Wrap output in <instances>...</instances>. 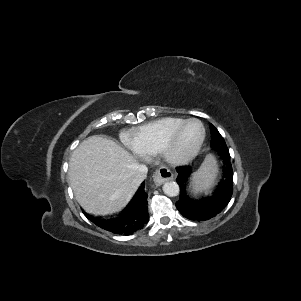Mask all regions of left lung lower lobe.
<instances>
[{"label":"left lung lower lobe","mask_w":301,"mask_h":301,"mask_svg":"<svg viewBox=\"0 0 301 301\" xmlns=\"http://www.w3.org/2000/svg\"><path fill=\"white\" fill-rule=\"evenodd\" d=\"M217 144V143H216ZM219 147V156L222 160L221 180L216 189L203 198L193 199L187 192L189 177L192 173V167H177V183L180 186V198L176 202L179 212L190 220L202 221L208 220L220 213L229 203L233 193V170L230 160V154L227 147Z\"/></svg>","instance_id":"left-lung-lower-lobe-1"}]
</instances>
